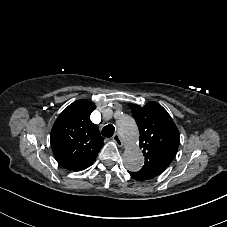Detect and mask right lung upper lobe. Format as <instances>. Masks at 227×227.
<instances>
[{"instance_id": "1", "label": "right lung upper lobe", "mask_w": 227, "mask_h": 227, "mask_svg": "<svg viewBox=\"0 0 227 227\" xmlns=\"http://www.w3.org/2000/svg\"><path fill=\"white\" fill-rule=\"evenodd\" d=\"M96 106L78 100L66 107L51 131V146L58 163L68 170L81 171L93 164L104 145L98 126L90 114Z\"/></svg>"}]
</instances>
